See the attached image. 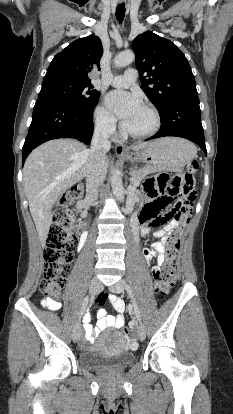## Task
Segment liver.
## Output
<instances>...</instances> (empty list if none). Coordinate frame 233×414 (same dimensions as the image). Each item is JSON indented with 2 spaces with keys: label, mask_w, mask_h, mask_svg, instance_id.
I'll return each mask as SVG.
<instances>
[{
  "label": "liver",
  "mask_w": 233,
  "mask_h": 414,
  "mask_svg": "<svg viewBox=\"0 0 233 414\" xmlns=\"http://www.w3.org/2000/svg\"><path fill=\"white\" fill-rule=\"evenodd\" d=\"M149 143L132 147L144 149ZM89 149L75 139H55L34 149L23 168L24 191L41 245L52 224V208L59 197L86 176ZM111 163L106 157L107 167Z\"/></svg>",
  "instance_id": "1"
}]
</instances>
